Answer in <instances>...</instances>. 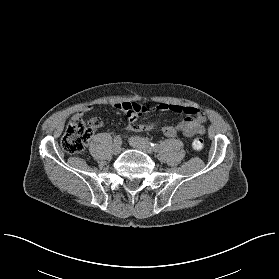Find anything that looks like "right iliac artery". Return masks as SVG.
<instances>
[{"instance_id":"1","label":"right iliac artery","mask_w":279,"mask_h":279,"mask_svg":"<svg viewBox=\"0 0 279 279\" xmlns=\"http://www.w3.org/2000/svg\"><path fill=\"white\" fill-rule=\"evenodd\" d=\"M113 141H114V144H121L120 136L119 135L115 136Z\"/></svg>"}]
</instances>
